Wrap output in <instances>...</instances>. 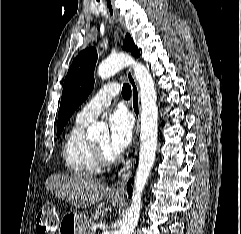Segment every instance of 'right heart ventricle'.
<instances>
[{
    "mask_svg": "<svg viewBox=\"0 0 241 234\" xmlns=\"http://www.w3.org/2000/svg\"><path fill=\"white\" fill-rule=\"evenodd\" d=\"M88 123L76 120L63 145L65 165L71 173L78 176L94 175L101 168L95 156L94 143L86 134Z\"/></svg>",
    "mask_w": 241,
    "mask_h": 234,
    "instance_id": "1",
    "label": "right heart ventricle"
}]
</instances>
